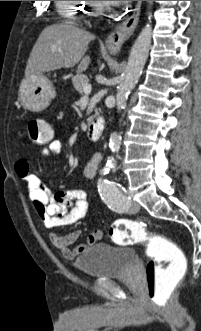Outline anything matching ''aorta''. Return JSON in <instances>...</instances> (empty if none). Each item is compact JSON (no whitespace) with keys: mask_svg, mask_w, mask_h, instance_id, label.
Listing matches in <instances>:
<instances>
[{"mask_svg":"<svg viewBox=\"0 0 201 331\" xmlns=\"http://www.w3.org/2000/svg\"><path fill=\"white\" fill-rule=\"evenodd\" d=\"M151 5L152 1H148ZM150 14V12L148 13ZM152 39V27L150 24L142 29L137 39L135 40L126 68L122 74V82L118 86V91L116 94V106L119 111L126 107V100L131 90L137 84L140 75L142 73L143 67L148 57L149 49L151 46ZM121 145V136L117 132H113L109 139V148L112 153L119 151ZM115 165V160L113 156L107 158L106 167L104 171H108Z\"/></svg>","mask_w":201,"mask_h":331,"instance_id":"aorta-1","label":"aorta"}]
</instances>
